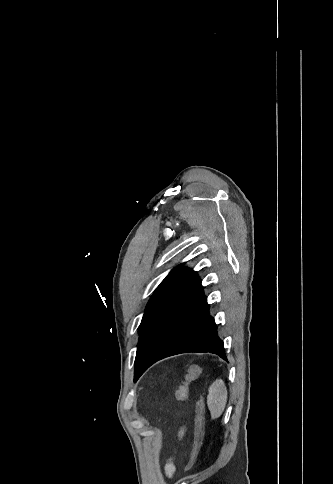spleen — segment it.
<instances>
[{
	"label": "spleen",
	"mask_w": 333,
	"mask_h": 484,
	"mask_svg": "<svg viewBox=\"0 0 333 484\" xmlns=\"http://www.w3.org/2000/svg\"><path fill=\"white\" fill-rule=\"evenodd\" d=\"M226 403L227 389L224 381L218 379L214 381L208 389L207 406L212 419H218L222 415Z\"/></svg>",
	"instance_id": "1"
}]
</instances>
